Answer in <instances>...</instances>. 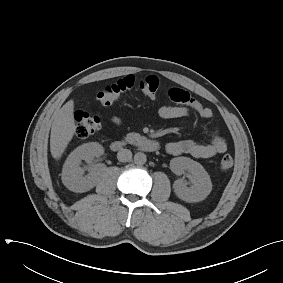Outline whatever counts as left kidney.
I'll return each instance as SVG.
<instances>
[{
    "instance_id": "obj_1",
    "label": "left kidney",
    "mask_w": 283,
    "mask_h": 283,
    "mask_svg": "<svg viewBox=\"0 0 283 283\" xmlns=\"http://www.w3.org/2000/svg\"><path fill=\"white\" fill-rule=\"evenodd\" d=\"M170 169L176 175H182L185 171L190 173L191 187H188L183 179H178L173 184L178 198L186 202H200L210 194L211 179L200 163L187 157H176L170 161Z\"/></svg>"
}]
</instances>
